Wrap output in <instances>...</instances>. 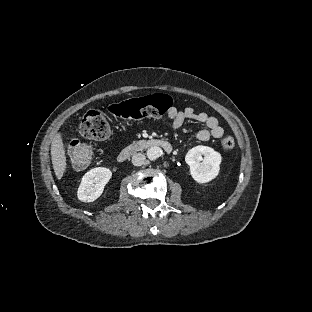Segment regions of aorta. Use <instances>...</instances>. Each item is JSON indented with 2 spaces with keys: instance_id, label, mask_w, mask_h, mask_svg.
<instances>
[{
  "instance_id": "aorta-1",
  "label": "aorta",
  "mask_w": 312,
  "mask_h": 312,
  "mask_svg": "<svg viewBox=\"0 0 312 312\" xmlns=\"http://www.w3.org/2000/svg\"><path fill=\"white\" fill-rule=\"evenodd\" d=\"M161 155V149L157 146H153V147H150L148 150H147V158L150 160V161H155L159 158V156Z\"/></svg>"
}]
</instances>
